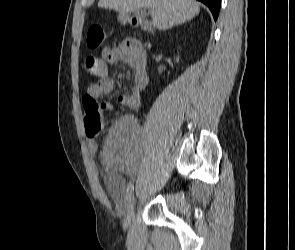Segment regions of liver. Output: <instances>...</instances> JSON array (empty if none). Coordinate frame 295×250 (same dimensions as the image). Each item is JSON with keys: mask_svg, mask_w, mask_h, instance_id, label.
<instances>
[{"mask_svg": "<svg viewBox=\"0 0 295 250\" xmlns=\"http://www.w3.org/2000/svg\"><path fill=\"white\" fill-rule=\"evenodd\" d=\"M98 7L120 13H132L150 7L154 10L152 24L159 30L190 21L200 11L199 4L193 0H99Z\"/></svg>", "mask_w": 295, "mask_h": 250, "instance_id": "6515ba94", "label": "liver"}]
</instances>
